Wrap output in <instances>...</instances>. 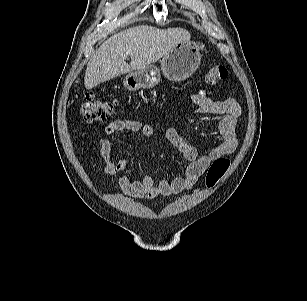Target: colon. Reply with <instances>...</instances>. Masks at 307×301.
<instances>
[{"mask_svg":"<svg viewBox=\"0 0 307 301\" xmlns=\"http://www.w3.org/2000/svg\"><path fill=\"white\" fill-rule=\"evenodd\" d=\"M228 77V70L223 65H209L206 70V81L218 84ZM115 110L112 101L96 98L93 94H86L81 106V115L86 122H103L111 117ZM230 161L220 157L213 161L206 175L207 187H213L229 168Z\"/></svg>","mask_w":307,"mask_h":301,"instance_id":"5ec220e1","label":"colon"}]
</instances>
